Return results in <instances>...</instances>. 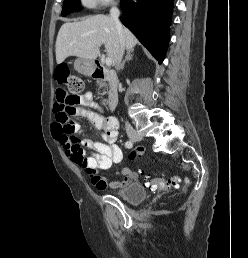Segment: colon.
I'll return each instance as SVG.
<instances>
[{
	"mask_svg": "<svg viewBox=\"0 0 248 258\" xmlns=\"http://www.w3.org/2000/svg\"><path fill=\"white\" fill-rule=\"evenodd\" d=\"M68 69L66 67H61V71L58 74V82L60 84L66 83L68 93L65 92L64 95L59 97L55 104L56 111V123L63 134L72 137L74 133L73 121L71 115L73 113V106L78 102L79 95L84 91V82L81 78L77 76H68ZM101 92L106 91L105 85L100 83ZM144 144H135L131 147L132 151H135L130 155V159H135L136 156L144 155ZM89 176H97L95 169H86ZM178 183L177 177H154L147 178L146 185L152 190H165L172 187H176Z\"/></svg>",
	"mask_w": 248,
	"mask_h": 258,
	"instance_id": "colon-1",
	"label": "colon"
}]
</instances>
